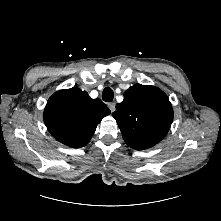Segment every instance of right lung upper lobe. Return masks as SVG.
Here are the masks:
<instances>
[{"label":"right lung upper lobe","mask_w":221,"mask_h":221,"mask_svg":"<svg viewBox=\"0 0 221 221\" xmlns=\"http://www.w3.org/2000/svg\"><path fill=\"white\" fill-rule=\"evenodd\" d=\"M110 114L100 99H92L79 88L57 91L44 110V122L51 135L59 142L72 147L85 146L96 126Z\"/></svg>","instance_id":"right-lung-upper-lobe-1"}]
</instances>
